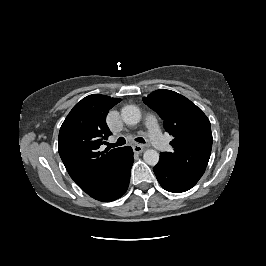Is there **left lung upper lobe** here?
<instances>
[{"label":"left lung upper lobe","instance_id":"5c2ea615","mask_svg":"<svg viewBox=\"0 0 266 266\" xmlns=\"http://www.w3.org/2000/svg\"><path fill=\"white\" fill-rule=\"evenodd\" d=\"M143 102L163 119L165 130L173 135L172 152H161L160 161L182 174L203 175L212 149L210 121L186 97L171 90H156Z\"/></svg>","mask_w":266,"mask_h":266}]
</instances>
